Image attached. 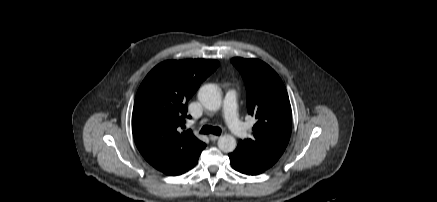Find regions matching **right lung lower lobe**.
Segmentation results:
<instances>
[{
    "mask_svg": "<svg viewBox=\"0 0 437 202\" xmlns=\"http://www.w3.org/2000/svg\"><path fill=\"white\" fill-rule=\"evenodd\" d=\"M205 148V147H204ZM203 148V149H204ZM202 149V150H203ZM201 150V151H202ZM201 151L194 157V158H192L187 164H185L183 167H181L179 170H177L174 174H172V175H180V174H183V173H185V172H187L188 170H190L191 168H193L196 164H197V162H198V158H199V155H200V153H201Z\"/></svg>",
    "mask_w": 437,
    "mask_h": 202,
    "instance_id": "98d812e1",
    "label": "right lung lower lobe"
}]
</instances>
